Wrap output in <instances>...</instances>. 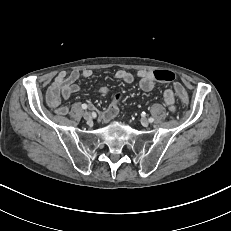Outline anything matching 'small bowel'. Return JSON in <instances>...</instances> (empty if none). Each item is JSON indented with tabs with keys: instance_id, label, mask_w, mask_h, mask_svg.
Wrapping results in <instances>:
<instances>
[{
	"instance_id": "c3829d8e",
	"label": "small bowel",
	"mask_w": 231,
	"mask_h": 231,
	"mask_svg": "<svg viewBox=\"0 0 231 231\" xmlns=\"http://www.w3.org/2000/svg\"><path fill=\"white\" fill-rule=\"evenodd\" d=\"M93 75L91 69L84 70H74L71 73L65 71L60 72L54 79L48 91V101L52 108L55 109L56 113L59 115H65L68 112L66 106L60 105L61 98L68 99L74 93H77L80 90V86L77 84V81L80 77L89 78ZM137 77L139 78L140 88L144 91H151L155 87V79L153 76V71L150 70H140L137 72ZM115 78L126 83L131 84L135 80V76L124 69L117 70L115 72ZM101 94H106L108 89L102 87L99 89ZM117 100H115L100 113V119L102 121L108 122L115 118L118 113ZM164 101L171 111L176 109L174 92L171 89H168L164 93Z\"/></svg>"
}]
</instances>
